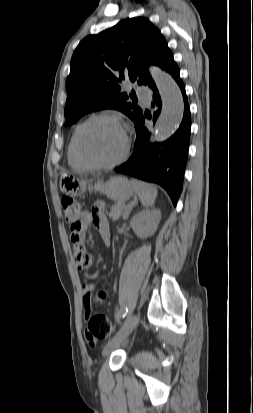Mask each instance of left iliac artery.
<instances>
[{
    "mask_svg": "<svg viewBox=\"0 0 253 413\" xmlns=\"http://www.w3.org/2000/svg\"><path fill=\"white\" fill-rule=\"evenodd\" d=\"M127 312H128V309L126 308V310L121 311V312L117 315V317H118V318H119V317H125L126 314H127Z\"/></svg>",
    "mask_w": 253,
    "mask_h": 413,
    "instance_id": "obj_1",
    "label": "left iliac artery"
}]
</instances>
